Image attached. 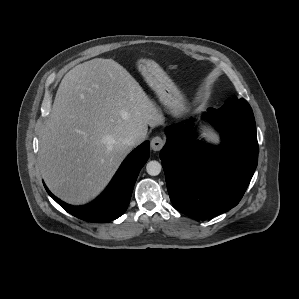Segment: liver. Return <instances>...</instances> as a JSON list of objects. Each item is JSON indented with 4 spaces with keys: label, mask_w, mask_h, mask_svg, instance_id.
<instances>
[{
    "label": "liver",
    "mask_w": 299,
    "mask_h": 299,
    "mask_svg": "<svg viewBox=\"0 0 299 299\" xmlns=\"http://www.w3.org/2000/svg\"><path fill=\"white\" fill-rule=\"evenodd\" d=\"M165 98L164 88L161 89ZM161 114L139 83L112 59L94 58L62 79L39 140L41 174L51 192L71 205L95 198L132 147Z\"/></svg>",
    "instance_id": "1"
}]
</instances>
